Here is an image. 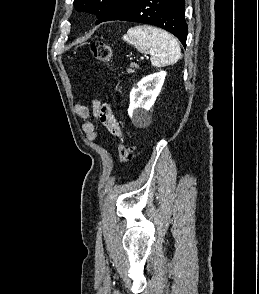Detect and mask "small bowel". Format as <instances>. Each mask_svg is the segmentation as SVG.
<instances>
[{
  "instance_id": "c3829d8e",
  "label": "small bowel",
  "mask_w": 259,
  "mask_h": 294,
  "mask_svg": "<svg viewBox=\"0 0 259 294\" xmlns=\"http://www.w3.org/2000/svg\"><path fill=\"white\" fill-rule=\"evenodd\" d=\"M74 112L81 119V129L88 140L92 141L96 138L98 123L103 125L110 133L122 136L120 126L113 115L111 107L107 103L94 99L91 111L87 106L78 103L74 106ZM91 113L96 122L90 120Z\"/></svg>"
}]
</instances>
